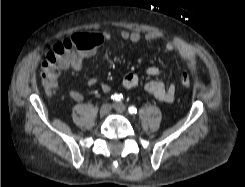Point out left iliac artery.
<instances>
[{
    "mask_svg": "<svg viewBox=\"0 0 245 187\" xmlns=\"http://www.w3.org/2000/svg\"><path fill=\"white\" fill-rule=\"evenodd\" d=\"M128 111L130 114H136L137 113V109L133 105L129 106Z\"/></svg>",
    "mask_w": 245,
    "mask_h": 187,
    "instance_id": "obj_1",
    "label": "left iliac artery"
}]
</instances>
